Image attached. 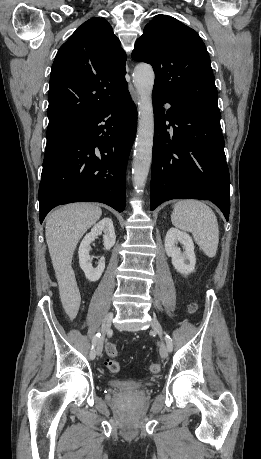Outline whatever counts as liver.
I'll return each instance as SVG.
<instances>
[{
	"label": "liver",
	"mask_w": 261,
	"mask_h": 459,
	"mask_svg": "<svg viewBox=\"0 0 261 459\" xmlns=\"http://www.w3.org/2000/svg\"><path fill=\"white\" fill-rule=\"evenodd\" d=\"M99 206L90 203H73L63 206L46 219L45 236L51 261L59 285L60 297L66 301L75 292V275L71 267L75 248L101 217Z\"/></svg>",
	"instance_id": "obj_1"
}]
</instances>
